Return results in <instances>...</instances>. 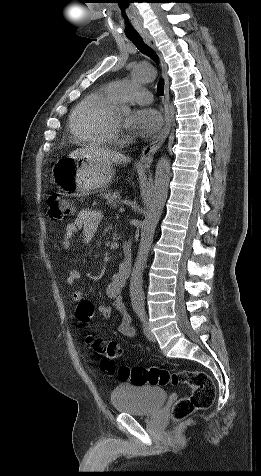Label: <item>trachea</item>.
<instances>
[{
	"mask_svg": "<svg viewBox=\"0 0 261 476\" xmlns=\"http://www.w3.org/2000/svg\"><path fill=\"white\" fill-rule=\"evenodd\" d=\"M128 39L137 47L139 51L148 55L154 61L158 62L157 54L146 45L140 35L128 36ZM157 92L160 96L164 95V81H160L157 85Z\"/></svg>",
	"mask_w": 261,
	"mask_h": 476,
	"instance_id": "trachea-1",
	"label": "trachea"
}]
</instances>
